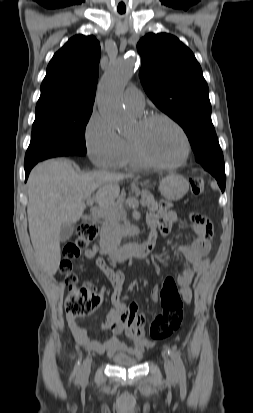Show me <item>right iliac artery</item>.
<instances>
[{
    "label": "right iliac artery",
    "instance_id": "right-iliac-artery-1",
    "mask_svg": "<svg viewBox=\"0 0 253 413\" xmlns=\"http://www.w3.org/2000/svg\"><path fill=\"white\" fill-rule=\"evenodd\" d=\"M79 367H80V360H78V362L75 365L74 373L79 369Z\"/></svg>",
    "mask_w": 253,
    "mask_h": 413
}]
</instances>
